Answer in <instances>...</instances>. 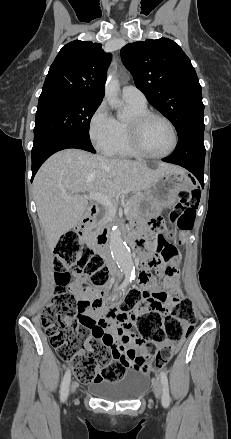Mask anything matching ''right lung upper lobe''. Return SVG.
<instances>
[{
  "label": "right lung upper lobe",
  "mask_w": 231,
  "mask_h": 439,
  "mask_svg": "<svg viewBox=\"0 0 231 439\" xmlns=\"http://www.w3.org/2000/svg\"><path fill=\"white\" fill-rule=\"evenodd\" d=\"M110 57L99 43L75 40L66 44L49 69L39 101L56 97L102 101Z\"/></svg>",
  "instance_id": "obj_1"
}]
</instances>
